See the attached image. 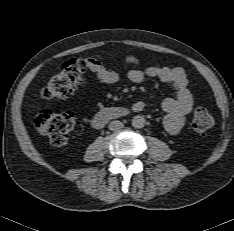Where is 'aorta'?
Returning a JSON list of instances; mask_svg holds the SVG:
<instances>
[{"label":"aorta","instance_id":"1","mask_svg":"<svg viewBox=\"0 0 234 231\" xmlns=\"http://www.w3.org/2000/svg\"><path fill=\"white\" fill-rule=\"evenodd\" d=\"M145 125V118L141 115H136L132 119V126L134 128H143Z\"/></svg>","mask_w":234,"mask_h":231}]
</instances>
